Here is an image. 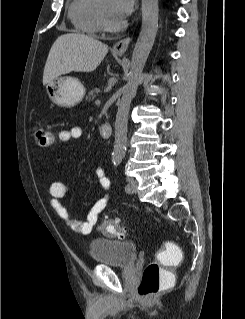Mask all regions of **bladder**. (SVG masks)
Here are the masks:
<instances>
[{
    "label": "bladder",
    "instance_id": "1",
    "mask_svg": "<svg viewBox=\"0 0 245 319\" xmlns=\"http://www.w3.org/2000/svg\"><path fill=\"white\" fill-rule=\"evenodd\" d=\"M137 251V245L130 241L98 238L89 244L90 257L94 263L122 268L134 264Z\"/></svg>",
    "mask_w": 245,
    "mask_h": 319
}]
</instances>
